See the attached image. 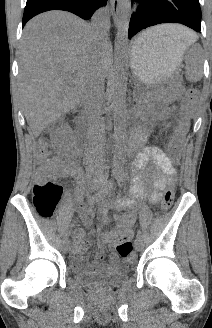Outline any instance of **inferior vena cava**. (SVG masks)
<instances>
[{
	"instance_id": "inferior-vena-cava-1",
	"label": "inferior vena cava",
	"mask_w": 212,
	"mask_h": 328,
	"mask_svg": "<svg viewBox=\"0 0 212 328\" xmlns=\"http://www.w3.org/2000/svg\"><path fill=\"white\" fill-rule=\"evenodd\" d=\"M109 24V13L106 8L97 10L90 24L93 35L99 39H105L107 26ZM104 95V79L100 72L96 71L89 77L87 87L83 96V116L87 122L88 151L86 163L93 179L100 176V157L94 152L102 140L104 122L102 119L101 107Z\"/></svg>"
}]
</instances>
